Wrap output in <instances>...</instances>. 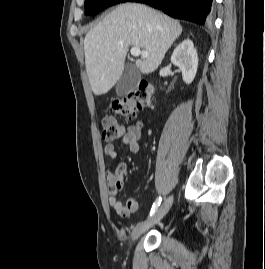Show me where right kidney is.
<instances>
[{
	"label": "right kidney",
	"mask_w": 265,
	"mask_h": 269,
	"mask_svg": "<svg viewBox=\"0 0 265 269\" xmlns=\"http://www.w3.org/2000/svg\"><path fill=\"white\" fill-rule=\"evenodd\" d=\"M171 62L179 67L182 72L183 81L192 83L198 68V55L190 39L182 41L173 51Z\"/></svg>",
	"instance_id": "obj_1"
}]
</instances>
